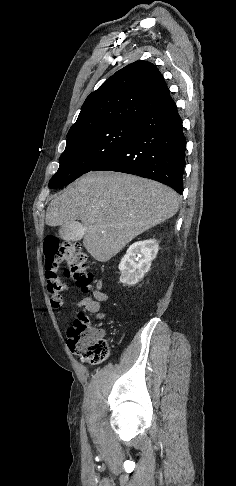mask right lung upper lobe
<instances>
[{"mask_svg": "<svg viewBox=\"0 0 236 486\" xmlns=\"http://www.w3.org/2000/svg\"><path fill=\"white\" fill-rule=\"evenodd\" d=\"M173 105L175 102L157 67L147 61H136L88 95L67 138L100 127L137 123Z\"/></svg>", "mask_w": 236, "mask_h": 486, "instance_id": "obj_1", "label": "right lung upper lobe"}]
</instances>
